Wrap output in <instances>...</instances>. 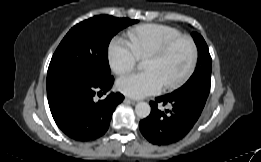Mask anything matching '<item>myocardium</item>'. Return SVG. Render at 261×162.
Here are the masks:
<instances>
[{
    "mask_svg": "<svg viewBox=\"0 0 261 162\" xmlns=\"http://www.w3.org/2000/svg\"><path fill=\"white\" fill-rule=\"evenodd\" d=\"M181 41H186L189 43V45L191 47V51H192L191 61H190V64H189L187 70L179 78H177L173 82L165 85L166 90H173V89L178 88L185 81H187L190 78V76L194 73L195 68L197 66V62H198V47H197L194 39L188 35L177 36V37L165 42L158 48L152 50L146 56V57H158V58L164 57Z\"/></svg>",
    "mask_w": 261,
    "mask_h": 162,
    "instance_id": "myocardium-1",
    "label": "myocardium"
}]
</instances>
